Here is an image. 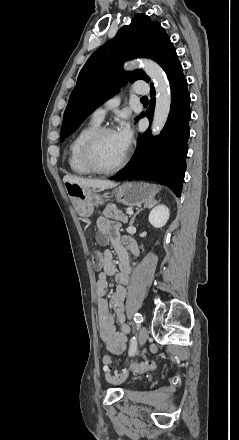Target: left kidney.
Segmentation results:
<instances>
[{
  "label": "left kidney",
  "mask_w": 239,
  "mask_h": 440,
  "mask_svg": "<svg viewBox=\"0 0 239 440\" xmlns=\"http://www.w3.org/2000/svg\"><path fill=\"white\" fill-rule=\"evenodd\" d=\"M170 212L167 206L159 204L156 208H153L149 214V222L154 228H163L169 220Z\"/></svg>",
  "instance_id": "1"
}]
</instances>
